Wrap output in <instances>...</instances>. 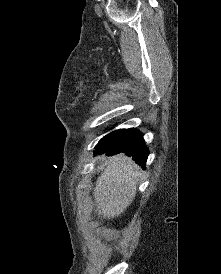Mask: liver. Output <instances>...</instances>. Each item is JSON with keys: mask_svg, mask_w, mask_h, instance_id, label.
<instances>
[{"mask_svg": "<svg viewBox=\"0 0 221 274\" xmlns=\"http://www.w3.org/2000/svg\"><path fill=\"white\" fill-rule=\"evenodd\" d=\"M94 189L95 213L103 218H114L129 207L136 196L141 175L133 160L123 154L104 159Z\"/></svg>", "mask_w": 221, "mask_h": 274, "instance_id": "6515ba94", "label": "liver"}]
</instances>
